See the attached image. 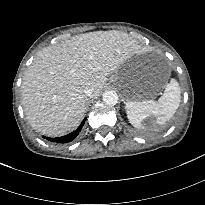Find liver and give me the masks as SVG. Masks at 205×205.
<instances>
[{
	"instance_id": "1",
	"label": "liver",
	"mask_w": 205,
	"mask_h": 205,
	"mask_svg": "<svg viewBox=\"0 0 205 205\" xmlns=\"http://www.w3.org/2000/svg\"><path fill=\"white\" fill-rule=\"evenodd\" d=\"M137 53L136 42L116 30L84 33L43 48L22 81L28 122L48 136L76 129L86 112L85 87H92L93 96H98L107 76Z\"/></svg>"
}]
</instances>
